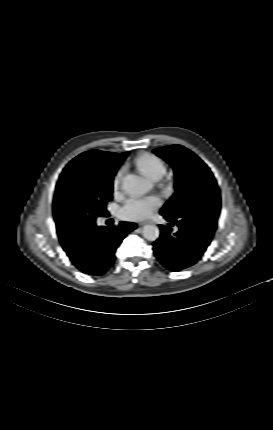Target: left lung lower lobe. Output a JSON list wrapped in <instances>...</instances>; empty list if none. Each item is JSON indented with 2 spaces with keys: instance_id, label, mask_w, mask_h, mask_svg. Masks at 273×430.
Segmentation results:
<instances>
[{
  "instance_id": "left-lung-lower-lobe-1",
  "label": "left lung lower lobe",
  "mask_w": 273,
  "mask_h": 430,
  "mask_svg": "<svg viewBox=\"0 0 273 430\" xmlns=\"http://www.w3.org/2000/svg\"><path fill=\"white\" fill-rule=\"evenodd\" d=\"M169 222V226L176 224L178 231L174 234L170 229L160 225L161 234L153 243L154 254L169 270L177 272L195 264L204 254L210 244L212 236L210 230L217 221L218 206L202 204L195 212L194 223L198 222L209 230H202L194 223L175 220L167 213L161 212Z\"/></svg>"
}]
</instances>
